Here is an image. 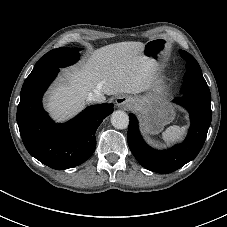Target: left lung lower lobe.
<instances>
[{
  "mask_svg": "<svg viewBox=\"0 0 227 227\" xmlns=\"http://www.w3.org/2000/svg\"><path fill=\"white\" fill-rule=\"evenodd\" d=\"M190 113L191 126L186 140L167 151H158L148 146L140 135L138 121L130 114L128 145L141 166L158 172L171 173L193 160L200 152L211 123L210 101L197 97L181 96L174 100Z\"/></svg>",
  "mask_w": 227,
  "mask_h": 227,
  "instance_id": "obj_1",
  "label": "left lung lower lobe"
}]
</instances>
